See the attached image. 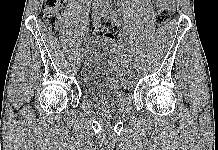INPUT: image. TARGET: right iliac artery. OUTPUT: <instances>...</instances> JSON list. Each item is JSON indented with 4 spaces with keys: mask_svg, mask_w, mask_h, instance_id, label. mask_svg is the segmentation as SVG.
Segmentation results:
<instances>
[{
    "mask_svg": "<svg viewBox=\"0 0 218 150\" xmlns=\"http://www.w3.org/2000/svg\"><path fill=\"white\" fill-rule=\"evenodd\" d=\"M100 20H101V16L93 15V17H92V23H93L94 25H97V24L100 22ZM82 49L85 51V52H84V55H86V54H87V51L85 50L84 47H81V48H80V51H81Z\"/></svg>",
    "mask_w": 218,
    "mask_h": 150,
    "instance_id": "1",
    "label": "right iliac artery"
}]
</instances>
